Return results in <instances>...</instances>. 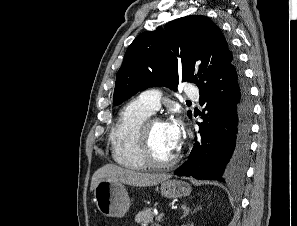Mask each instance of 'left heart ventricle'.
<instances>
[{
  "instance_id": "obj_1",
  "label": "left heart ventricle",
  "mask_w": 297,
  "mask_h": 226,
  "mask_svg": "<svg viewBox=\"0 0 297 226\" xmlns=\"http://www.w3.org/2000/svg\"><path fill=\"white\" fill-rule=\"evenodd\" d=\"M150 144L152 152L159 160L172 157L176 149L171 145L165 123H155L150 131Z\"/></svg>"
}]
</instances>
